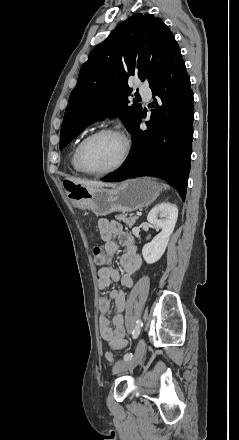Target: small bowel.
<instances>
[{"mask_svg":"<svg viewBox=\"0 0 239 440\" xmlns=\"http://www.w3.org/2000/svg\"><path fill=\"white\" fill-rule=\"evenodd\" d=\"M98 228L100 237L105 242V264L98 271V288L104 290L110 286L112 281L120 282L127 289L132 288L134 277L142 263L134 238L125 232L122 225L116 221L100 219ZM120 246H124L126 249L119 261L123 271L122 275L112 264L113 255ZM110 301L114 302L116 308V314L112 319L107 316ZM125 307V293L122 290L114 289L109 293V297H101L98 300L100 334L113 351H120L127 345L123 316Z\"/></svg>","mask_w":239,"mask_h":440,"instance_id":"1","label":"small bowel"}]
</instances>
